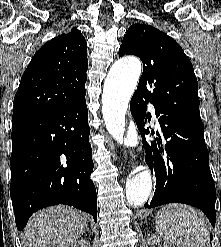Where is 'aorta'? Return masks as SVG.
I'll use <instances>...</instances> for the list:
<instances>
[{
	"label": "aorta",
	"instance_id": "1",
	"mask_svg": "<svg viewBox=\"0 0 221 247\" xmlns=\"http://www.w3.org/2000/svg\"><path fill=\"white\" fill-rule=\"evenodd\" d=\"M141 74V62L134 58H122L110 68L102 94L103 118L110 134L123 143L125 114L130 98ZM152 190L149 170L141 171L126 181L127 203L133 207L143 205Z\"/></svg>",
	"mask_w": 221,
	"mask_h": 247
}]
</instances>
